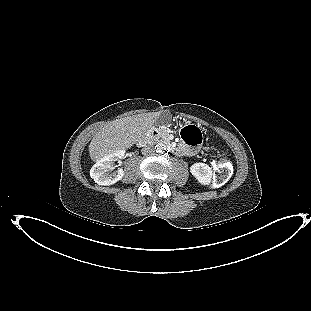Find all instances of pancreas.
Listing matches in <instances>:
<instances>
[{"label":"pancreas","mask_w":311,"mask_h":311,"mask_svg":"<svg viewBox=\"0 0 311 311\" xmlns=\"http://www.w3.org/2000/svg\"><path fill=\"white\" fill-rule=\"evenodd\" d=\"M162 138L166 139L168 137V133L166 131L161 132Z\"/></svg>","instance_id":"obj_1"}]
</instances>
